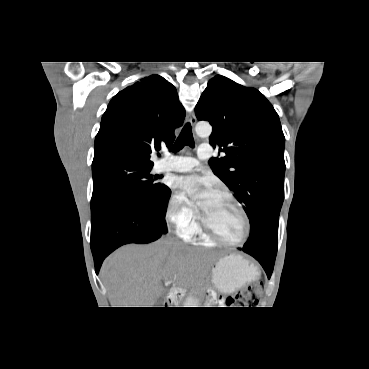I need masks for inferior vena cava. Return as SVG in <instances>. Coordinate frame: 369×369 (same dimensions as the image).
<instances>
[{
	"label": "inferior vena cava",
	"mask_w": 369,
	"mask_h": 369,
	"mask_svg": "<svg viewBox=\"0 0 369 369\" xmlns=\"http://www.w3.org/2000/svg\"><path fill=\"white\" fill-rule=\"evenodd\" d=\"M172 233H173V231L171 229V223H170V224H168V234L166 236V239H168L170 241H174L175 238L172 236Z\"/></svg>",
	"instance_id": "602c4592"
}]
</instances>
